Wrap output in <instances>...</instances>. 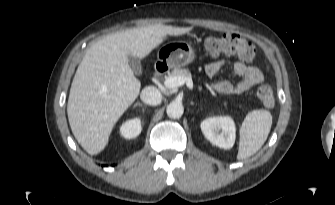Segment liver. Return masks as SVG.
<instances>
[{
  "mask_svg": "<svg viewBox=\"0 0 335 205\" xmlns=\"http://www.w3.org/2000/svg\"><path fill=\"white\" fill-rule=\"evenodd\" d=\"M191 30L161 24L128 29L102 38L86 51L72 81L67 114L72 133L87 153L105 148L114 125L140 93L128 56L145 58L166 35Z\"/></svg>",
  "mask_w": 335,
  "mask_h": 205,
  "instance_id": "1",
  "label": "liver"
}]
</instances>
